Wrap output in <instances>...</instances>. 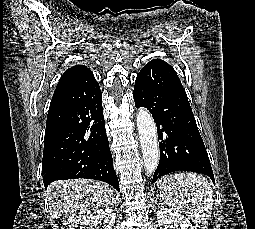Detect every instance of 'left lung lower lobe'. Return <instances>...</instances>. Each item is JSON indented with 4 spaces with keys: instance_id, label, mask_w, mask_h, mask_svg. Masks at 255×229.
Here are the masks:
<instances>
[{
    "instance_id": "obj_1",
    "label": "left lung lower lobe",
    "mask_w": 255,
    "mask_h": 229,
    "mask_svg": "<svg viewBox=\"0 0 255 229\" xmlns=\"http://www.w3.org/2000/svg\"><path fill=\"white\" fill-rule=\"evenodd\" d=\"M133 97L136 108L146 107L152 113L161 140L153 182L181 170L205 174L215 182L186 92L174 68L161 59L148 62L137 75Z\"/></svg>"
}]
</instances>
